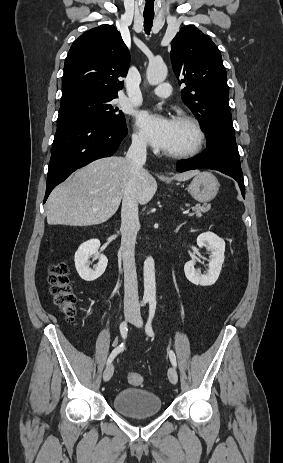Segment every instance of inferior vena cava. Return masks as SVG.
<instances>
[{
  "label": "inferior vena cava",
  "instance_id": "1",
  "mask_svg": "<svg viewBox=\"0 0 283 463\" xmlns=\"http://www.w3.org/2000/svg\"><path fill=\"white\" fill-rule=\"evenodd\" d=\"M147 141L134 137L126 154L131 167V178L123 194L121 209V247L120 252L124 270V309L139 310L138 284L135 265V244L140 228L138 217L137 185L143 165L146 161Z\"/></svg>",
  "mask_w": 283,
  "mask_h": 463
}]
</instances>
